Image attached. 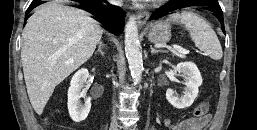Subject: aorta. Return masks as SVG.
I'll use <instances>...</instances> for the list:
<instances>
[{"instance_id": "obj_1", "label": "aorta", "mask_w": 257, "mask_h": 130, "mask_svg": "<svg viewBox=\"0 0 257 130\" xmlns=\"http://www.w3.org/2000/svg\"><path fill=\"white\" fill-rule=\"evenodd\" d=\"M125 53L133 82L137 85L142 78L143 60L138 37V26L134 16H131L125 25Z\"/></svg>"}]
</instances>
